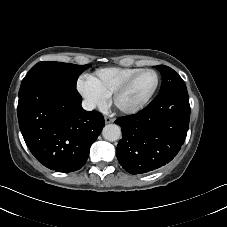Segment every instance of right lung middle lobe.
<instances>
[{"mask_svg": "<svg viewBox=\"0 0 227 227\" xmlns=\"http://www.w3.org/2000/svg\"><path fill=\"white\" fill-rule=\"evenodd\" d=\"M90 66V64L75 65L53 61L39 62L29 70L22 80L21 87L36 79L47 78L59 81L71 88H76L79 75Z\"/></svg>", "mask_w": 227, "mask_h": 227, "instance_id": "right-lung-middle-lobe-1", "label": "right lung middle lobe"}]
</instances>
